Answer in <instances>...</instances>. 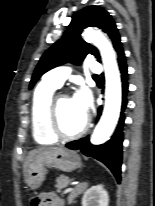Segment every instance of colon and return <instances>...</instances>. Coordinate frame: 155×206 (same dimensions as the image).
Segmentation results:
<instances>
[{
    "label": "colon",
    "instance_id": "obj_1",
    "mask_svg": "<svg viewBox=\"0 0 155 206\" xmlns=\"http://www.w3.org/2000/svg\"><path fill=\"white\" fill-rule=\"evenodd\" d=\"M32 206H38V199H34V200H33Z\"/></svg>",
    "mask_w": 155,
    "mask_h": 206
}]
</instances>
